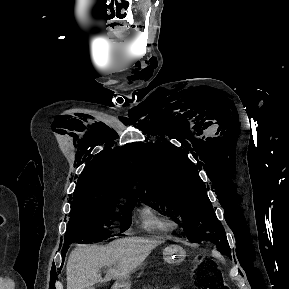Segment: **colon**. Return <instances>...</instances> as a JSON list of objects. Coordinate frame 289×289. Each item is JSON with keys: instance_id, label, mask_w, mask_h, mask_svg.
Segmentation results:
<instances>
[{"instance_id": "1", "label": "colon", "mask_w": 289, "mask_h": 289, "mask_svg": "<svg viewBox=\"0 0 289 289\" xmlns=\"http://www.w3.org/2000/svg\"><path fill=\"white\" fill-rule=\"evenodd\" d=\"M193 282L198 289H227L214 265L209 262H204L195 268Z\"/></svg>"}]
</instances>
